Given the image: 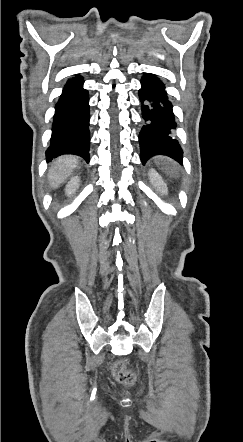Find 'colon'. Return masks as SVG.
<instances>
[{"label":"colon","mask_w":243,"mask_h":442,"mask_svg":"<svg viewBox=\"0 0 243 442\" xmlns=\"http://www.w3.org/2000/svg\"><path fill=\"white\" fill-rule=\"evenodd\" d=\"M114 377L122 384L130 386L136 381V377L132 371L126 368L125 360L120 359L115 362L112 368Z\"/></svg>","instance_id":"5ec220e1"}]
</instances>
